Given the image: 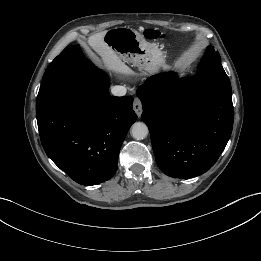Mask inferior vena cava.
Instances as JSON below:
<instances>
[{
    "label": "inferior vena cava",
    "instance_id": "inferior-vena-cava-1",
    "mask_svg": "<svg viewBox=\"0 0 261 261\" xmlns=\"http://www.w3.org/2000/svg\"><path fill=\"white\" fill-rule=\"evenodd\" d=\"M111 92L114 96H124L127 92V89L124 86L116 85L112 87Z\"/></svg>",
    "mask_w": 261,
    "mask_h": 261
}]
</instances>
